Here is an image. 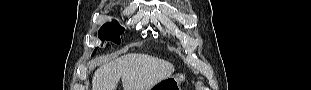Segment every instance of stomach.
<instances>
[{
    "label": "stomach",
    "instance_id": "stomach-1",
    "mask_svg": "<svg viewBox=\"0 0 311 90\" xmlns=\"http://www.w3.org/2000/svg\"><path fill=\"white\" fill-rule=\"evenodd\" d=\"M187 77L183 73L171 75L154 85L151 90H181V83L185 82Z\"/></svg>",
    "mask_w": 311,
    "mask_h": 90
}]
</instances>
